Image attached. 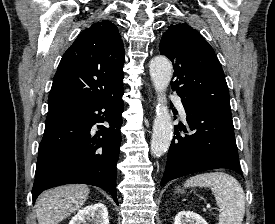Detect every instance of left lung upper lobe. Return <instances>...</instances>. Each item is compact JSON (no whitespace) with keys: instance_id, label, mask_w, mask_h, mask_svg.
<instances>
[{"instance_id":"left-lung-upper-lobe-1","label":"left lung upper lobe","mask_w":275,"mask_h":224,"mask_svg":"<svg viewBox=\"0 0 275 224\" xmlns=\"http://www.w3.org/2000/svg\"><path fill=\"white\" fill-rule=\"evenodd\" d=\"M159 50L174 67L171 87L192 104L231 114L225 75L213 48L188 24L168 27Z\"/></svg>"}]
</instances>
